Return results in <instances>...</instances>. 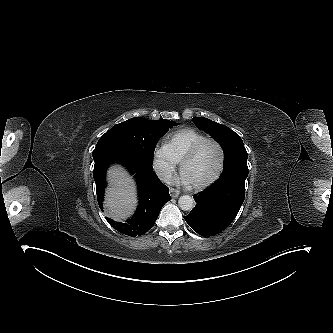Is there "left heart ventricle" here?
Segmentation results:
<instances>
[{
  "label": "left heart ventricle",
  "instance_id": "1",
  "mask_svg": "<svg viewBox=\"0 0 333 333\" xmlns=\"http://www.w3.org/2000/svg\"><path fill=\"white\" fill-rule=\"evenodd\" d=\"M219 163V151L213 143H206L197 155L186 163L184 172L191 183H198L210 178Z\"/></svg>",
  "mask_w": 333,
  "mask_h": 333
}]
</instances>
